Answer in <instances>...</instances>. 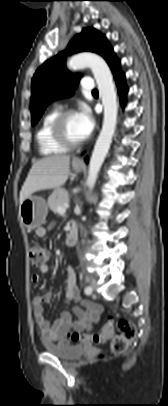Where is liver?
I'll return each instance as SVG.
<instances>
[{
  "label": "liver",
  "instance_id": "liver-1",
  "mask_svg": "<svg viewBox=\"0 0 168 406\" xmlns=\"http://www.w3.org/2000/svg\"><path fill=\"white\" fill-rule=\"evenodd\" d=\"M69 165L70 157L67 155H54L36 161L20 191V204L34 192L58 189L68 179Z\"/></svg>",
  "mask_w": 168,
  "mask_h": 406
}]
</instances>
